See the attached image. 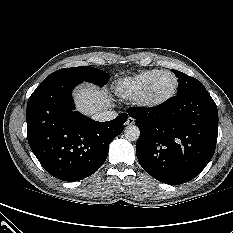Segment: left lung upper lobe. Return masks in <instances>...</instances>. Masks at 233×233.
I'll list each match as a JSON object with an SVG mask.
<instances>
[{
	"mask_svg": "<svg viewBox=\"0 0 233 233\" xmlns=\"http://www.w3.org/2000/svg\"><path fill=\"white\" fill-rule=\"evenodd\" d=\"M173 73L177 76L180 83L178 95L184 94L196 88H204V85L193 77L176 70H173Z\"/></svg>",
	"mask_w": 233,
	"mask_h": 233,
	"instance_id": "left-lung-upper-lobe-1",
	"label": "left lung upper lobe"
}]
</instances>
